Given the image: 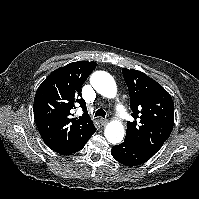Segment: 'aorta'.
I'll use <instances>...</instances> for the list:
<instances>
[{
  "label": "aorta",
  "instance_id": "1",
  "mask_svg": "<svg viewBox=\"0 0 199 199\" xmlns=\"http://www.w3.org/2000/svg\"><path fill=\"white\" fill-rule=\"evenodd\" d=\"M90 83L102 96L113 98L117 87L114 78L105 71H96L91 75ZM105 137L111 144H118L124 138V127L119 121H111L105 128Z\"/></svg>",
  "mask_w": 199,
  "mask_h": 199
}]
</instances>
